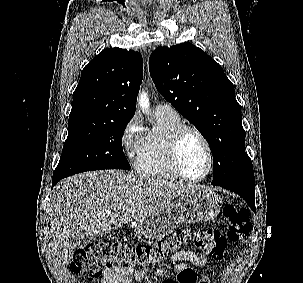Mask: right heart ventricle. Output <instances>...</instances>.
<instances>
[{
  "label": "right heart ventricle",
  "instance_id": "right-heart-ventricle-1",
  "mask_svg": "<svg viewBox=\"0 0 303 283\" xmlns=\"http://www.w3.org/2000/svg\"><path fill=\"white\" fill-rule=\"evenodd\" d=\"M157 125L144 136L135 157V169L148 178L180 180L171 165L168 154V139L172 131L182 124L177 112L156 111Z\"/></svg>",
  "mask_w": 303,
  "mask_h": 283
}]
</instances>
